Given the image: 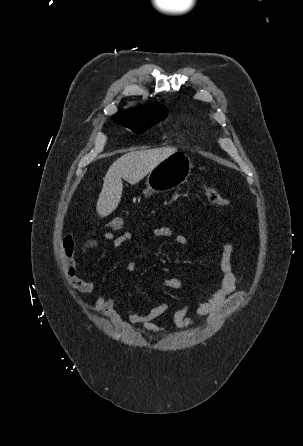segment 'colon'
<instances>
[{"mask_svg":"<svg viewBox=\"0 0 303 446\" xmlns=\"http://www.w3.org/2000/svg\"><path fill=\"white\" fill-rule=\"evenodd\" d=\"M203 193L210 204L220 207L229 206V201L214 188L205 187L203 188ZM126 221L127 215L116 216L108 222L106 228L108 232L112 233V231L121 229L126 224Z\"/></svg>","mask_w":303,"mask_h":446,"instance_id":"colon-1","label":"colon"}]
</instances>
